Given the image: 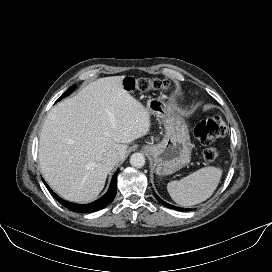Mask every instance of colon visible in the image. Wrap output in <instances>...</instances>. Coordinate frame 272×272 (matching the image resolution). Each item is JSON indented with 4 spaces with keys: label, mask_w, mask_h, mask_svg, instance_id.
<instances>
[{
    "label": "colon",
    "mask_w": 272,
    "mask_h": 272,
    "mask_svg": "<svg viewBox=\"0 0 272 272\" xmlns=\"http://www.w3.org/2000/svg\"><path fill=\"white\" fill-rule=\"evenodd\" d=\"M124 86L129 91L150 92V91H167L170 84L157 78H132L129 77L124 81ZM226 124L220 116H214L203 120L197 124L194 129L195 138L203 145H209L226 133ZM219 151L215 147H207L203 152V157L207 162H213L217 159Z\"/></svg>",
    "instance_id": "1"
}]
</instances>
